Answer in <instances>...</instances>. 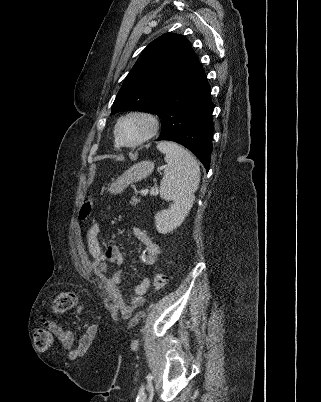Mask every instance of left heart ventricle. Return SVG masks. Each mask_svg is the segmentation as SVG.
<instances>
[{
    "instance_id": "1",
    "label": "left heart ventricle",
    "mask_w": 321,
    "mask_h": 402,
    "mask_svg": "<svg viewBox=\"0 0 321 402\" xmlns=\"http://www.w3.org/2000/svg\"><path fill=\"white\" fill-rule=\"evenodd\" d=\"M147 130V123L140 118L124 121L119 128V137L124 143H132L142 137Z\"/></svg>"
}]
</instances>
